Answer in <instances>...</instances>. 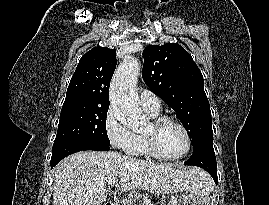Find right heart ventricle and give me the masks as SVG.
<instances>
[{
    "label": "right heart ventricle",
    "mask_w": 269,
    "mask_h": 205,
    "mask_svg": "<svg viewBox=\"0 0 269 205\" xmlns=\"http://www.w3.org/2000/svg\"><path fill=\"white\" fill-rule=\"evenodd\" d=\"M146 112L151 117H156L158 115V112L157 113H153L150 111H146ZM126 152L131 156H137V157H150L151 156L145 147L142 134H139V133L134 134L132 145Z\"/></svg>",
    "instance_id": "e07e8e85"
}]
</instances>
